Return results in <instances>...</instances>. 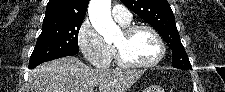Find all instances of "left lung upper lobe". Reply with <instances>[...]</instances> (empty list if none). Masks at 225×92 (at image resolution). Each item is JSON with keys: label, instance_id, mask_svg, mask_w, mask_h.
Instances as JSON below:
<instances>
[{"label": "left lung upper lobe", "instance_id": "5c2ea615", "mask_svg": "<svg viewBox=\"0 0 225 92\" xmlns=\"http://www.w3.org/2000/svg\"><path fill=\"white\" fill-rule=\"evenodd\" d=\"M125 6L153 26L172 49V65L191 69L190 61L180 41L175 19L167 0H121Z\"/></svg>", "mask_w": 225, "mask_h": 92}]
</instances>
